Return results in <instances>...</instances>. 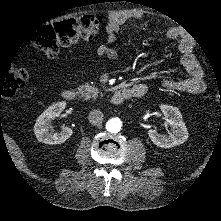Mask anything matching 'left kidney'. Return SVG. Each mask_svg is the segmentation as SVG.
<instances>
[{"label":"left kidney","mask_w":221,"mask_h":221,"mask_svg":"<svg viewBox=\"0 0 221 221\" xmlns=\"http://www.w3.org/2000/svg\"><path fill=\"white\" fill-rule=\"evenodd\" d=\"M159 109L165 117L170 119L167 126V135L160 134L156 129H150L148 130V136L151 141L163 148L174 147L185 142L189 133L178 107L160 103Z\"/></svg>","instance_id":"1"}]
</instances>
